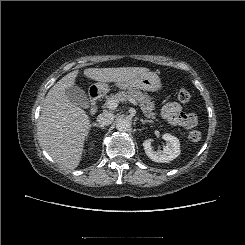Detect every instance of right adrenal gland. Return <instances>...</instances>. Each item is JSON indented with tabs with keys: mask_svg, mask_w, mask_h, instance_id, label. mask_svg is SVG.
I'll return each instance as SVG.
<instances>
[{
	"mask_svg": "<svg viewBox=\"0 0 245 245\" xmlns=\"http://www.w3.org/2000/svg\"><path fill=\"white\" fill-rule=\"evenodd\" d=\"M92 126L98 127V128H102V129L105 128L103 125H100V124H97V123H93Z\"/></svg>",
	"mask_w": 245,
	"mask_h": 245,
	"instance_id": "2a0ac1e0",
	"label": "right adrenal gland"
}]
</instances>
